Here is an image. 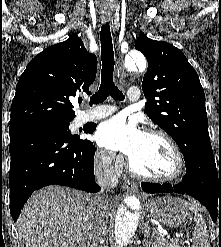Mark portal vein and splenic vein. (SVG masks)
Returning <instances> with one entry per match:
<instances>
[{
  "instance_id": "18ae733b",
  "label": "portal vein and splenic vein",
  "mask_w": 221,
  "mask_h": 247,
  "mask_svg": "<svg viewBox=\"0 0 221 247\" xmlns=\"http://www.w3.org/2000/svg\"><path fill=\"white\" fill-rule=\"evenodd\" d=\"M158 232L162 235H168L166 230H163L162 228L158 229Z\"/></svg>"
}]
</instances>
